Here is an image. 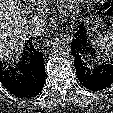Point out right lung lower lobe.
<instances>
[{"instance_id": "98d812e1", "label": "right lung lower lobe", "mask_w": 113, "mask_h": 113, "mask_svg": "<svg viewBox=\"0 0 113 113\" xmlns=\"http://www.w3.org/2000/svg\"><path fill=\"white\" fill-rule=\"evenodd\" d=\"M45 82L43 53L32 39L28 40L21 61L15 67L0 65V83L14 96L23 99L35 97Z\"/></svg>"}]
</instances>
